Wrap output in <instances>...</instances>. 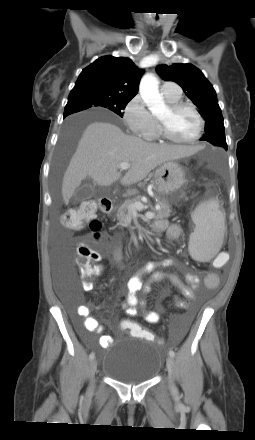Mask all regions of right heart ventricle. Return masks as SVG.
Here are the masks:
<instances>
[{"label":"right heart ventricle","instance_id":"e07e8e85","mask_svg":"<svg viewBox=\"0 0 255 440\" xmlns=\"http://www.w3.org/2000/svg\"><path fill=\"white\" fill-rule=\"evenodd\" d=\"M163 95H164V98L168 104H174V103L181 101V94L180 95H173V94L165 95V94H163Z\"/></svg>","mask_w":255,"mask_h":440}]
</instances>
